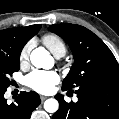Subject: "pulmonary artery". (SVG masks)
<instances>
[{"instance_id":"1","label":"pulmonary artery","mask_w":119,"mask_h":119,"mask_svg":"<svg viewBox=\"0 0 119 119\" xmlns=\"http://www.w3.org/2000/svg\"><path fill=\"white\" fill-rule=\"evenodd\" d=\"M57 58H59V57H62V55H58V56H56Z\"/></svg>"}]
</instances>
